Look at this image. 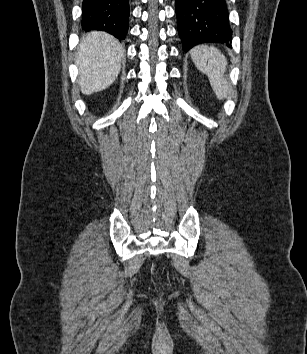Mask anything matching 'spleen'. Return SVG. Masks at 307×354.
I'll return each instance as SVG.
<instances>
[{"label": "spleen", "mask_w": 307, "mask_h": 354, "mask_svg": "<svg viewBox=\"0 0 307 354\" xmlns=\"http://www.w3.org/2000/svg\"><path fill=\"white\" fill-rule=\"evenodd\" d=\"M191 58L199 71L208 76L217 98H226L229 85L224 78L227 66L225 56L215 47L199 45L191 51Z\"/></svg>", "instance_id": "3e777b00"}]
</instances>
